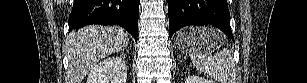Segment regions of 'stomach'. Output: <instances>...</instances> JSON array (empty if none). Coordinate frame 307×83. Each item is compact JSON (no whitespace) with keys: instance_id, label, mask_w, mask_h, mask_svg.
Returning a JSON list of instances; mask_svg holds the SVG:
<instances>
[{"instance_id":"0dacf381","label":"stomach","mask_w":307,"mask_h":83,"mask_svg":"<svg viewBox=\"0 0 307 83\" xmlns=\"http://www.w3.org/2000/svg\"><path fill=\"white\" fill-rule=\"evenodd\" d=\"M177 45L179 49L184 53H192L196 48L200 47L203 42L205 46L203 48L211 52L213 49L217 48L219 44L216 40H209L207 43L201 38V33L199 28L189 27L181 30L176 37Z\"/></svg>"}]
</instances>
